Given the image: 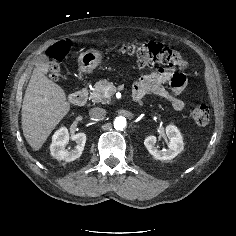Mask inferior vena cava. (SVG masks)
I'll use <instances>...</instances> for the list:
<instances>
[{
	"label": "inferior vena cava",
	"instance_id": "obj_1",
	"mask_svg": "<svg viewBox=\"0 0 236 236\" xmlns=\"http://www.w3.org/2000/svg\"><path fill=\"white\" fill-rule=\"evenodd\" d=\"M105 115H106V110L100 107L92 108L89 111V116L92 117L93 119H97V120L103 119Z\"/></svg>",
	"mask_w": 236,
	"mask_h": 236
}]
</instances>
